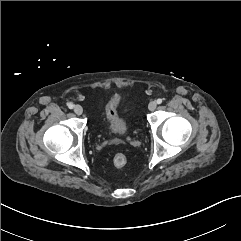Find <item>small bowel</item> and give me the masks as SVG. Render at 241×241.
<instances>
[{
    "label": "small bowel",
    "mask_w": 241,
    "mask_h": 241,
    "mask_svg": "<svg viewBox=\"0 0 241 241\" xmlns=\"http://www.w3.org/2000/svg\"><path fill=\"white\" fill-rule=\"evenodd\" d=\"M107 113H109V114H113V113H111V111H109L108 109H107Z\"/></svg>",
    "instance_id": "c3829d8e"
}]
</instances>
